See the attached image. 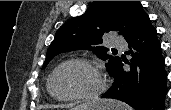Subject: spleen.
Masks as SVG:
<instances>
[{
	"label": "spleen",
	"mask_w": 171,
	"mask_h": 110,
	"mask_svg": "<svg viewBox=\"0 0 171 110\" xmlns=\"http://www.w3.org/2000/svg\"><path fill=\"white\" fill-rule=\"evenodd\" d=\"M121 110H129V108L125 106L124 104H121Z\"/></svg>",
	"instance_id": "spleen-1"
}]
</instances>
